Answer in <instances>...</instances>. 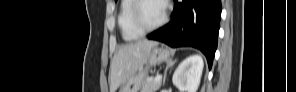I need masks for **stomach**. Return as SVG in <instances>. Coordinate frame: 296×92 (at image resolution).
<instances>
[{
  "instance_id": "stomach-1",
  "label": "stomach",
  "mask_w": 296,
  "mask_h": 92,
  "mask_svg": "<svg viewBox=\"0 0 296 92\" xmlns=\"http://www.w3.org/2000/svg\"><path fill=\"white\" fill-rule=\"evenodd\" d=\"M170 60V51L166 48L153 47L150 52L148 63L145 68L133 74L120 88L119 92H139L144 80L147 77L150 67L159 65Z\"/></svg>"
}]
</instances>
